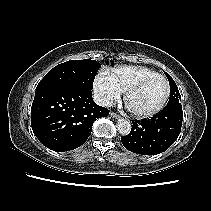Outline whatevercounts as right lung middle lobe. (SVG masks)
Returning <instances> with one entry per match:
<instances>
[{
    "label": "right lung middle lobe",
    "mask_w": 211,
    "mask_h": 211,
    "mask_svg": "<svg viewBox=\"0 0 211 211\" xmlns=\"http://www.w3.org/2000/svg\"><path fill=\"white\" fill-rule=\"evenodd\" d=\"M101 65L90 59L70 60L51 69L37 85L36 91L54 86L93 88V81Z\"/></svg>",
    "instance_id": "1"
}]
</instances>
